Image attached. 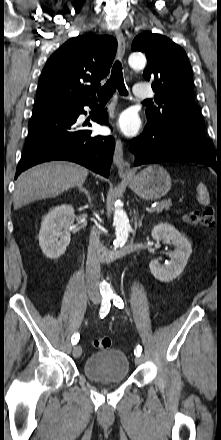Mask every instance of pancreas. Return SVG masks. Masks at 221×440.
Returning <instances> with one entry per match:
<instances>
[{
	"instance_id": "obj_1",
	"label": "pancreas",
	"mask_w": 221,
	"mask_h": 440,
	"mask_svg": "<svg viewBox=\"0 0 221 440\" xmlns=\"http://www.w3.org/2000/svg\"><path fill=\"white\" fill-rule=\"evenodd\" d=\"M171 206V201L170 200H165L162 201L160 203H158L156 205V207L154 208V211H156L157 213L162 212L164 209L168 210Z\"/></svg>"
}]
</instances>
